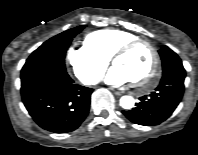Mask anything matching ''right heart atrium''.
Instances as JSON below:
<instances>
[{"label": "right heart atrium", "instance_id": "1", "mask_svg": "<svg viewBox=\"0 0 198 155\" xmlns=\"http://www.w3.org/2000/svg\"><path fill=\"white\" fill-rule=\"evenodd\" d=\"M66 60L74 76L88 85L97 83L108 65V59L103 58L87 45L70 46Z\"/></svg>", "mask_w": 198, "mask_h": 155}]
</instances>
